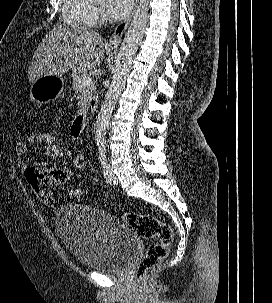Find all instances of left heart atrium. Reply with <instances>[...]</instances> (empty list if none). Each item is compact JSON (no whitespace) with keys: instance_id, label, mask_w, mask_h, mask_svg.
<instances>
[{"instance_id":"39dd6f15","label":"left heart atrium","mask_w":272,"mask_h":303,"mask_svg":"<svg viewBox=\"0 0 272 303\" xmlns=\"http://www.w3.org/2000/svg\"><path fill=\"white\" fill-rule=\"evenodd\" d=\"M132 0H106L105 11L107 16L115 21L125 19L131 12Z\"/></svg>"}]
</instances>
